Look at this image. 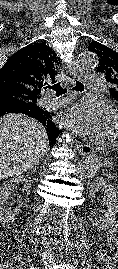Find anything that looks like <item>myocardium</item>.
<instances>
[{
  "instance_id": "myocardium-1",
  "label": "myocardium",
  "mask_w": 118,
  "mask_h": 269,
  "mask_svg": "<svg viewBox=\"0 0 118 269\" xmlns=\"http://www.w3.org/2000/svg\"><path fill=\"white\" fill-rule=\"evenodd\" d=\"M114 116L118 118V110L113 112ZM111 144L118 147V138H111Z\"/></svg>"
}]
</instances>
